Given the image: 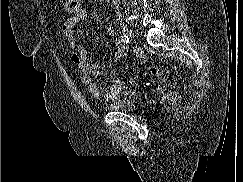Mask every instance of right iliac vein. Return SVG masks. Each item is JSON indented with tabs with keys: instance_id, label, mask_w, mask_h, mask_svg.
Here are the masks:
<instances>
[{
	"instance_id": "obj_1",
	"label": "right iliac vein",
	"mask_w": 243,
	"mask_h": 182,
	"mask_svg": "<svg viewBox=\"0 0 243 182\" xmlns=\"http://www.w3.org/2000/svg\"><path fill=\"white\" fill-rule=\"evenodd\" d=\"M120 27H121L122 33L124 35L129 36V37L132 36V31L128 28L127 25H125L124 23H121Z\"/></svg>"
}]
</instances>
